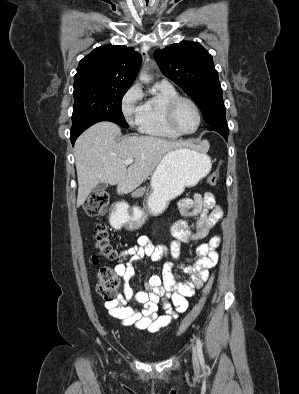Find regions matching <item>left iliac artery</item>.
<instances>
[{
	"label": "left iliac artery",
	"instance_id": "44dca946",
	"mask_svg": "<svg viewBox=\"0 0 299 394\" xmlns=\"http://www.w3.org/2000/svg\"><path fill=\"white\" fill-rule=\"evenodd\" d=\"M197 352H198V357H199L200 363H201L202 367L204 368L205 361H204L203 350H202V342L199 338L197 339Z\"/></svg>",
	"mask_w": 299,
	"mask_h": 394
}]
</instances>
